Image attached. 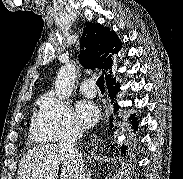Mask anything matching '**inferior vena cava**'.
<instances>
[{
  "mask_svg": "<svg viewBox=\"0 0 183 179\" xmlns=\"http://www.w3.org/2000/svg\"><path fill=\"white\" fill-rule=\"evenodd\" d=\"M83 130L80 128L71 129L59 142L58 146L67 151L73 160L74 179H86L84 162L81 154L75 148L76 141L82 136Z\"/></svg>",
  "mask_w": 183,
  "mask_h": 179,
  "instance_id": "inferior-vena-cava-1",
  "label": "inferior vena cava"
}]
</instances>
